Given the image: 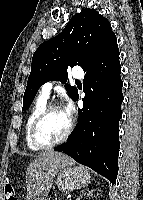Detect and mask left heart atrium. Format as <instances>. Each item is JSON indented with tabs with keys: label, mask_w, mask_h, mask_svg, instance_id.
<instances>
[{
	"label": "left heart atrium",
	"mask_w": 143,
	"mask_h": 200,
	"mask_svg": "<svg viewBox=\"0 0 143 200\" xmlns=\"http://www.w3.org/2000/svg\"><path fill=\"white\" fill-rule=\"evenodd\" d=\"M64 111L67 114V116L70 118L72 115V111H73L70 103L66 105V107L64 108Z\"/></svg>",
	"instance_id": "left-heart-atrium-1"
}]
</instances>
